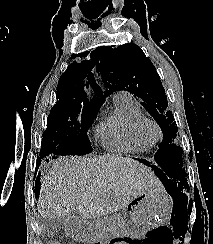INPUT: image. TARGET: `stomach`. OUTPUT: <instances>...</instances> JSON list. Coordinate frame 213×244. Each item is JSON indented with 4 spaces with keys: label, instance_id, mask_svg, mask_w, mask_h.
<instances>
[{
    "label": "stomach",
    "instance_id": "1",
    "mask_svg": "<svg viewBox=\"0 0 213 244\" xmlns=\"http://www.w3.org/2000/svg\"><path fill=\"white\" fill-rule=\"evenodd\" d=\"M163 188L151 189L134 199L128 208V218L118 229H105L103 221H68L67 231L72 237L88 244H97V239H110V234L142 233L165 222L169 216Z\"/></svg>",
    "mask_w": 213,
    "mask_h": 244
}]
</instances>
